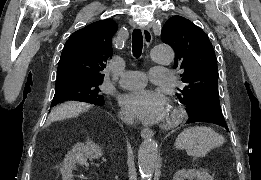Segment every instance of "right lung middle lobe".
<instances>
[{
	"label": "right lung middle lobe",
	"mask_w": 261,
	"mask_h": 180,
	"mask_svg": "<svg viewBox=\"0 0 261 180\" xmlns=\"http://www.w3.org/2000/svg\"><path fill=\"white\" fill-rule=\"evenodd\" d=\"M103 81H81L70 80L56 83L55 95L51 106H55L67 100L82 101L91 104L104 103L103 96L100 94L99 86Z\"/></svg>",
	"instance_id": "obj_1"
}]
</instances>
